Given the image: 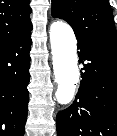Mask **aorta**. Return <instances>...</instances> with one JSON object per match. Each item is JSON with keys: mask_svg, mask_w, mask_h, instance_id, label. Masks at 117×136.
Instances as JSON below:
<instances>
[{"mask_svg": "<svg viewBox=\"0 0 117 136\" xmlns=\"http://www.w3.org/2000/svg\"><path fill=\"white\" fill-rule=\"evenodd\" d=\"M50 43L55 81L56 99L61 104L69 103L79 81L77 41L72 28L63 21H55L50 27Z\"/></svg>", "mask_w": 117, "mask_h": 136, "instance_id": "aorta-1", "label": "aorta"}]
</instances>
